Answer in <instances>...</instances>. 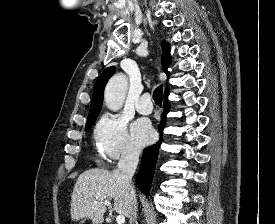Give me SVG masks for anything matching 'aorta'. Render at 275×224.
I'll list each match as a JSON object with an SVG mask.
<instances>
[{
    "mask_svg": "<svg viewBox=\"0 0 275 224\" xmlns=\"http://www.w3.org/2000/svg\"><path fill=\"white\" fill-rule=\"evenodd\" d=\"M127 89L128 80L125 74L119 73L110 79L104 94L108 109L117 111L123 106Z\"/></svg>",
    "mask_w": 275,
    "mask_h": 224,
    "instance_id": "obj_1",
    "label": "aorta"
}]
</instances>
